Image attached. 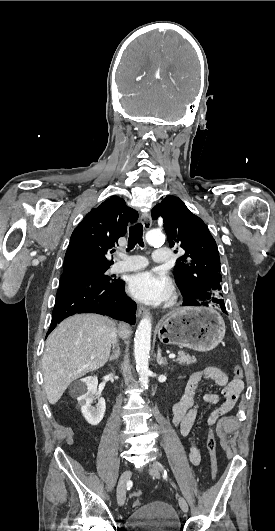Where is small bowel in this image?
I'll list each match as a JSON object with an SVG mask.
<instances>
[{
	"label": "small bowel",
	"mask_w": 275,
	"mask_h": 531,
	"mask_svg": "<svg viewBox=\"0 0 275 531\" xmlns=\"http://www.w3.org/2000/svg\"><path fill=\"white\" fill-rule=\"evenodd\" d=\"M204 381H211L216 386L221 387L222 395L224 397V401L218 405L207 418V424L210 427L215 425L223 416L235 407L243 390V382L240 378L234 377L229 379L224 371L215 366H209L203 371H196L190 374L184 395L181 400L173 406L172 414L173 423L177 427L180 435L191 438V447L188 457L193 465H198L201 462V454L197 447L193 431L200 409L197 397ZM201 401L205 404L214 405L219 402V395L208 392L202 395ZM211 421H214V424H211ZM140 504L141 502L138 499L133 502V506H139Z\"/></svg>",
	"instance_id": "1"
}]
</instances>
